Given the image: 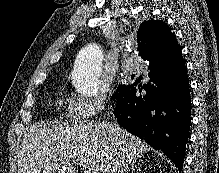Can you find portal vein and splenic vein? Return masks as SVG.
Here are the masks:
<instances>
[{
  "label": "portal vein and splenic vein",
  "instance_id": "portal-vein-and-splenic-vein-1",
  "mask_svg": "<svg viewBox=\"0 0 219 173\" xmlns=\"http://www.w3.org/2000/svg\"><path fill=\"white\" fill-rule=\"evenodd\" d=\"M84 173H90V171L88 169H83Z\"/></svg>",
  "mask_w": 219,
  "mask_h": 173
}]
</instances>
